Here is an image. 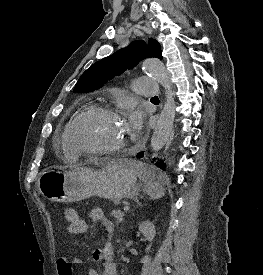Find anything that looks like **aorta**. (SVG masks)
<instances>
[{"label":"aorta","mask_w":263,"mask_h":275,"mask_svg":"<svg viewBox=\"0 0 263 275\" xmlns=\"http://www.w3.org/2000/svg\"><path fill=\"white\" fill-rule=\"evenodd\" d=\"M144 71L153 76L165 89L166 100L164 107L158 118L153 136L151 138V148L153 151H160L167 143L175 119L176 104L175 94L172 90L173 84L170 74L164 64L158 59H149L144 62Z\"/></svg>","instance_id":"1"}]
</instances>
